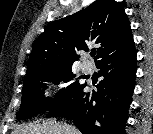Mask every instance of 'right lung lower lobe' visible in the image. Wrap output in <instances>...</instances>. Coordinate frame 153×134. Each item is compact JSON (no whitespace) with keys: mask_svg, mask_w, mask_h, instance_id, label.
Wrapping results in <instances>:
<instances>
[{"mask_svg":"<svg viewBox=\"0 0 153 134\" xmlns=\"http://www.w3.org/2000/svg\"><path fill=\"white\" fill-rule=\"evenodd\" d=\"M136 63L133 41L106 55L96 63L104 77L97 91L85 92V84L70 100L50 110L47 117L72 119L82 134H125Z\"/></svg>","mask_w":153,"mask_h":134,"instance_id":"obj_1","label":"right lung lower lobe"}]
</instances>
